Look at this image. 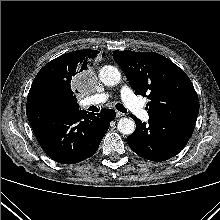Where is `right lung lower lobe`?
Wrapping results in <instances>:
<instances>
[{
	"label": "right lung lower lobe",
	"instance_id": "98d812e1",
	"mask_svg": "<svg viewBox=\"0 0 220 220\" xmlns=\"http://www.w3.org/2000/svg\"><path fill=\"white\" fill-rule=\"evenodd\" d=\"M26 113L45 153L61 164H75L91 157L116 116L113 109L95 114L35 102L26 104Z\"/></svg>",
	"mask_w": 220,
	"mask_h": 220
}]
</instances>
